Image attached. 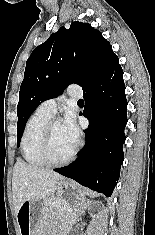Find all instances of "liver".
I'll use <instances>...</instances> for the list:
<instances>
[{
  "label": "liver",
  "instance_id": "obj_1",
  "mask_svg": "<svg viewBox=\"0 0 155 235\" xmlns=\"http://www.w3.org/2000/svg\"><path fill=\"white\" fill-rule=\"evenodd\" d=\"M63 177L38 166L18 160L13 169L12 195L17 215L26 201L48 200L53 197L57 184Z\"/></svg>",
  "mask_w": 155,
  "mask_h": 235
}]
</instances>
